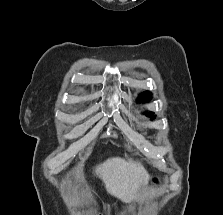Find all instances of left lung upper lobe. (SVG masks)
<instances>
[{"label":"left lung upper lobe","mask_w":223,"mask_h":215,"mask_svg":"<svg viewBox=\"0 0 223 215\" xmlns=\"http://www.w3.org/2000/svg\"><path fill=\"white\" fill-rule=\"evenodd\" d=\"M151 98V93L148 91L142 92L141 94H139L138 96V101L139 102H144V101H148ZM154 113L153 112H149L147 113V116L154 118Z\"/></svg>","instance_id":"obj_1"}]
</instances>
